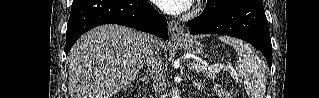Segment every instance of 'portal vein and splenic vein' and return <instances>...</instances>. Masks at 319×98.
Returning a JSON list of instances; mask_svg holds the SVG:
<instances>
[{
    "mask_svg": "<svg viewBox=\"0 0 319 98\" xmlns=\"http://www.w3.org/2000/svg\"><path fill=\"white\" fill-rule=\"evenodd\" d=\"M188 68L190 70H193V71H203V70H214L216 72H219L221 70H225L226 67L224 65H214V66H209L207 63L205 62H202L201 64L200 63H190L188 64ZM231 75L232 76H236L235 72H231Z\"/></svg>",
    "mask_w": 319,
    "mask_h": 98,
    "instance_id": "obj_1",
    "label": "portal vein and splenic vein"
}]
</instances>
